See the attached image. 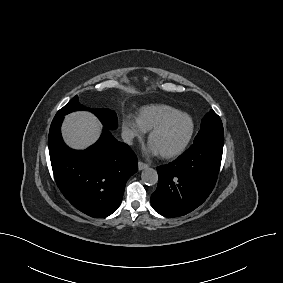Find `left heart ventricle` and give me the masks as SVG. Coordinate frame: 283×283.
Here are the masks:
<instances>
[{
  "label": "left heart ventricle",
  "mask_w": 283,
  "mask_h": 283,
  "mask_svg": "<svg viewBox=\"0 0 283 283\" xmlns=\"http://www.w3.org/2000/svg\"><path fill=\"white\" fill-rule=\"evenodd\" d=\"M190 129V122L185 117H176L168 122L150 140L159 153L177 148L186 138Z\"/></svg>",
  "instance_id": "1"
}]
</instances>
